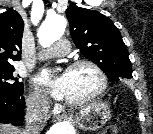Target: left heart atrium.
Returning a JSON list of instances; mask_svg holds the SVG:
<instances>
[{
  "instance_id": "1",
  "label": "left heart atrium",
  "mask_w": 153,
  "mask_h": 134,
  "mask_svg": "<svg viewBox=\"0 0 153 134\" xmlns=\"http://www.w3.org/2000/svg\"><path fill=\"white\" fill-rule=\"evenodd\" d=\"M36 83L44 87L57 99L65 98L67 90L66 74L53 76L50 71H43L36 77Z\"/></svg>"
}]
</instances>
